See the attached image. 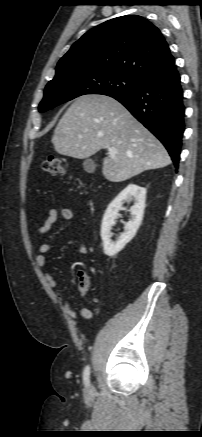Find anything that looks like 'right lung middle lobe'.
I'll return each instance as SVG.
<instances>
[{
  "mask_svg": "<svg viewBox=\"0 0 202 437\" xmlns=\"http://www.w3.org/2000/svg\"><path fill=\"white\" fill-rule=\"evenodd\" d=\"M142 80L114 72H68L51 80L39 105L45 112L64 102L86 94L114 95L136 89Z\"/></svg>",
  "mask_w": 202,
  "mask_h": 437,
  "instance_id": "dd1d6c3e",
  "label": "right lung middle lobe"
}]
</instances>
